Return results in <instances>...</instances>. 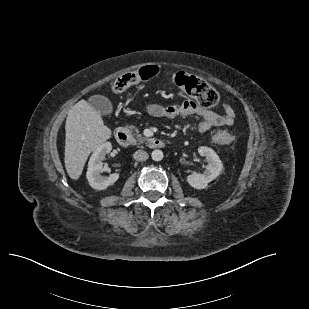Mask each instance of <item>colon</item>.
<instances>
[{"label":"colon","instance_id":"obj_1","mask_svg":"<svg viewBox=\"0 0 309 309\" xmlns=\"http://www.w3.org/2000/svg\"><path fill=\"white\" fill-rule=\"evenodd\" d=\"M159 73L157 66H145L138 70L119 76L112 84L113 93H120L131 85L147 81ZM174 82L177 87L189 94L200 106L214 107L220 101V95L217 90L205 81L199 80L194 76L178 73ZM223 143H230L236 139V136L229 133H222L216 138Z\"/></svg>","mask_w":309,"mask_h":309}]
</instances>
